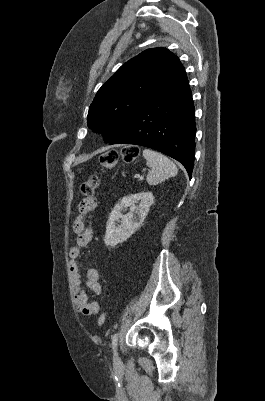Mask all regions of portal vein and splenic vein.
Returning <instances> with one entry per match:
<instances>
[{
    "mask_svg": "<svg viewBox=\"0 0 265 401\" xmlns=\"http://www.w3.org/2000/svg\"><path fill=\"white\" fill-rule=\"evenodd\" d=\"M132 178L133 179L141 178V174H133Z\"/></svg>",
    "mask_w": 265,
    "mask_h": 401,
    "instance_id": "1",
    "label": "portal vein and splenic vein"
}]
</instances>
